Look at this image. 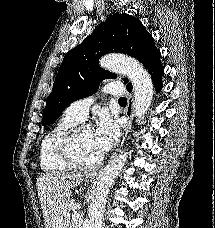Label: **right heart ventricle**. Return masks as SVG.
<instances>
[{"mask_svg": "<svg viewBox=\"0 0 215 228\" xmlns=\"http://www.w3.org/2000/svg\"><path fill=\"white\" fill-rule=\"evenodd\" d=\"M81 121L65 111L45 133L41 140L39 158L41 169L47 174H59L69 170L57 157L56 144L58 139L70 128Z\"/></svg>", "mask_w": 215, "mask_h": 228, "instance_id": "right-heart-ventricle-1", "label": "right heart ventricle"}]
</instances>
